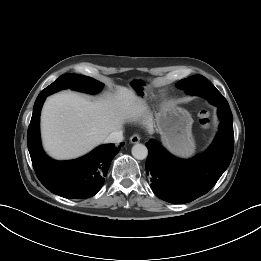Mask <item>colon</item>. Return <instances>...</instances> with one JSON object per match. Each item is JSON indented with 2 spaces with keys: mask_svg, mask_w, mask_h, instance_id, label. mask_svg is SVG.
Here are the masks:
<instances>
[{
  "mask_svg": "<svg viewBox=\"0 0 261 261\" xmlns=\"http://www.w3.org/2000/svg\"><path fill=\"white\" fill-rule=\"evenodd\" d=\"M199 122L204 128H207L209 126L210 119H209V113L207 111L200 112Z\"/></svg>",
  "mask_w": 261,
  "mask_h": 261,
  "instance_id": "colon-1",
  "label": "colon"
}]
</instances>
